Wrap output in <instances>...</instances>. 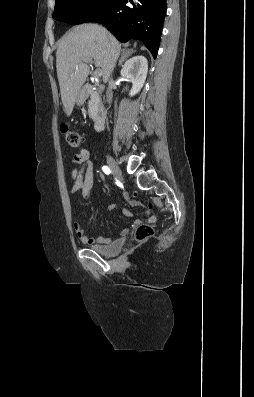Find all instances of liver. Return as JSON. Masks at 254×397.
Returning <instances> with one entry per match:
<instances>
[{"mask_svg": "<svg viewBox=\"0 0 254 397\" xmlns=\"http://www.w3.org/2000/svg\"><path fill=\"white\" fill-rule=\"evenodd\" d=\"M120 51L121 44L117 39L96 24L76 26L62 39L56 51V69L67 117L72 114L77 94L90 72L84 61L94 59L107 82Z\"/></svg>", "mask_w": 254, "mask_h": 397, "instance_id": "6515ba94", "label": "liver"}]
</instances>
